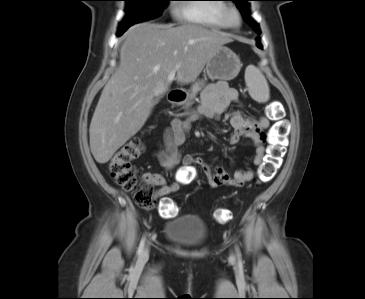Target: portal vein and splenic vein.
Listing matches in <instances>:
<instances>
[{
  "label": "portal vein and splenic vein",
  "instance_id": "obj_1",
  "mask_svg": "<svg viewBox=\"0 0 365 299\" xmlns=\"http://www.w3.org/2000/svg\"><path fill=\"white\" fill-rule=\"evenodd\" d=\"M175 74H176V71H172L169 73L168 78H167L169 83H171L175 79Z\"/></svg>",
  "mask_w": 365,
  "mask_h": 299
}]
</instances>
